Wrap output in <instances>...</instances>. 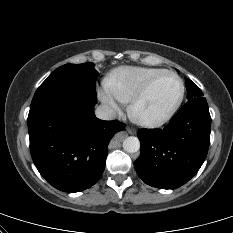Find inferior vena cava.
<instances>
[{
  "label": "inferior vena cava",
  "mask_w": 233,
  "mask_h": 233,
  "mask_svg": "<svg viewBox=\"0 0 233 233\" xmlns=\"http://www.w3.org/2000/svg\"><path fill=\"white\" fill-rule=\"evenodd\" d=\"M96 117L102 120H113L116 118V112L108 105H100L95 111Z\"/></svg>",
  "instance_id": "inferior-vena-cava-1"
}]
</instances>
